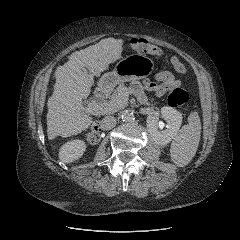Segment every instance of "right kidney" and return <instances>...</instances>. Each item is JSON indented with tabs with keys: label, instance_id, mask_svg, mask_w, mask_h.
Returning a JSON list of instances; mask_svg holds the SVG:
<instances>
[{
	"label": "right kidney",
	"instance_id": "obj_1",
	"mask_svg": "<svg viewBox=\"0 0 240 240\" xmlns=\"http://www.w3.org/2000/svg\"><path fill=\"white\" fill-rule=\"evenodd\" d=\"M86 150L84 141L76 139L63 144L59 151V159L64 163H70L79 159Z\"/></svg>",
	"mask_w": 240,
	"mask_h": 240
}]
</instances>
